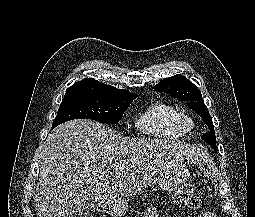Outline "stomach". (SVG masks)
I'll use <instances>...</instances> for the list:
<instances>
[{"instance_id":"1","label":"stomach","mask_w":255,"mask_h":217,"mask_svg":"<svg viewBox=\"0 0 255 217\" xmlns=\"http://www.w3.org/2000/svg\"><path fill=\"white\" fill-rule=\"evenodd\" d=\"M188 177V170L182 161L163 170L158 177V183L162 190L170 192L181 186ZM129 205L121 199L109 202V212L114 217L126 215Z\"/></svg>"}]
</instances>
